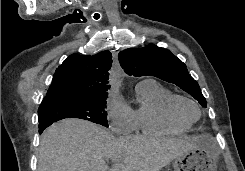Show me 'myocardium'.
<instances>
[{
	"label": "myocardium",
	"mask_w": 245,
	"mask_h": 171,
	"mask_svg": "<svg viewBox=\"0 0 245 171\" xmlns=\"http://www.w3.org/2000/svg\"><path fill=\"white\" fill-rule=\"evenodd\" d=\"M183 102L189 103V104H191L192 106L195 107V109L198 112V116H197V118L195 120H188V119H186L185 117L182 116V114L179 111V106ZM166 110H167L169 116L173 120H175V121H177L179 123H182V124H186L188 126H190V125L194 124L195 122H197L200 119V117H201V110H200L198 104L194 100H192V99H190L188 97L182 96V95H173V96H171L168 99L167 103H166Z\"/></svg>",
	"instance_id": "myocardium-1"
}]
</instances>
